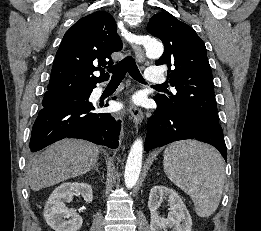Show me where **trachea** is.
Wrapping results in <instances>:
<instances>
[{
    "mask_svg": "<svg viewBox=\"0 0 261 231\" xmlns=\"http://www.w3.org/2000/svg\"><path fill=\"white\" fill-rule=\"evenodd\" d=\"M108 71L113 74L111 81H122L126 73H129L136 81L145 82L132 56L125 57L118 65L111 67ZM156 87H164V85H156Z\"/></svg>",
    "mask_w": 261,
    "mask_h": 231,
    "instance_id": "3493384b",
    "label": "trachea"
}]
</instances>
